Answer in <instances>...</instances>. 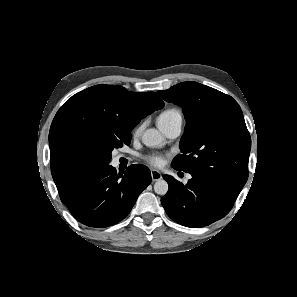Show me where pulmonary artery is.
I'll return each mask as SVG.
<instances>
[{
  "instance_id": "obj_1",
  "label": "pulmonary artery",
  "mask_w": 297,
  "mask_h": 297,
  "mask_svg": "<svg viewBox=\"0 0 297 297\" xmlns=\"http://www.w3.org/2000/svg\"><path fill=\"white\" fill-rule=\"evenodd\" d=\"M182 124V119H178L165 125H160V128L167 137L176 138L181 133Z\"/></svg>"
}]
</instances>
